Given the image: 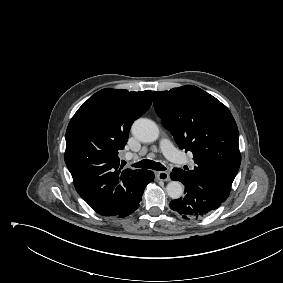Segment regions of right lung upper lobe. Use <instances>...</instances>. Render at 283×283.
Masks as SVG:
<instances>
[{"mask_svg":"<svg viewBox=\"0 0 283 283\" xmlns=\"http://www.w3.org/2000/svg\"><path fill=\"white\" fill-rule=\"evenodd\" d=\"M151 103L149 90L106 88L83 103L67 127L65 163L79 195L100 215H116L140 195L144 170L122 171L118 151Z\"/></svg>","mask_w":283,"mask_h":283,"instance_id":"cb5924a9","label":"right lung upper lobe"}]
</instances>
